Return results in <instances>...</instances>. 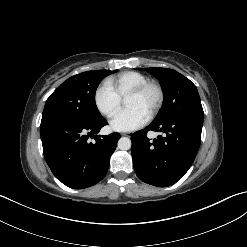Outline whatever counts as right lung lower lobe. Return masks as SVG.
Segmentation results:
<instances>
[{"label":"right lung lower lobe","instance_id":"right-lung-lower-lobe-1","mask_svg":"<svg viewBox=\"0 0 247 247\" xmlns=\"http://www.w3.org/2000/svg\"><path fill=\"white\" fill-rule=\"evenodd\" d=\"M107 125L102 118L91 124L57 119L41 123L40 136L45 160L66 186L83 189L101 181L115 151L119 133L94 135ZM89 137L95 142L90 143Z\"/></svg>","mask_w":247,"mask_h":247}]
</instances>
